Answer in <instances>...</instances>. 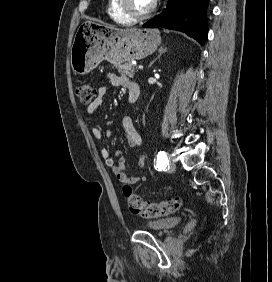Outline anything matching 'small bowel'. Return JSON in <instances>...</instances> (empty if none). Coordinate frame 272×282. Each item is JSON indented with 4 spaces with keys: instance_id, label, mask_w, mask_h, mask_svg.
<instances>
[{
    "instance_id": "1",
    "label": "small bowel",
    "mask_w": 272,
    "mask_h": 282,
    "mask_svg": "<svg viewBox=\"0 0 272 282\" xmlns=\"http://www.w3.org/2000/svg\"><path fill=\"white\" fill-rule=\"evenodd\" d=\"M106 78L113 86H119L123 89H128L129 82H131L126 77L118 76L114 72H110L106 74ZM106 87H101L99 89V95L95 99V101L88 107V113L95 114L98 112L100 107L103 105V97L106 94ZM122 126L125 131V137L128 144L132 147H139L142 144V138L139 132L137 131L133 121L129 117H124L122 119ZM93 135L97 140L102 138V134L98 128L93 129ZM106 135L111 136V132L108 131ZM101 155L105 160L107 167H109L113 173H115L118 178L127 183V184H138L144 182L146 177L144 174L129 176L126 170V162L125 159L121 156L120 152H117L114 157L110 155L108 149L103 148L101 150ZM138 164L140 167H144L146 164V156L142 154L139 158Z\"/></svg>"
}]
</instances>
